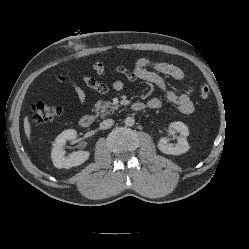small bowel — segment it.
<instances>
[{"instance_id": "small-bowel-1", "label": "small bowel", "mask_w": 249, "mask_h": 249, "mask_svg": "<svg viewBox=\"0 0 249 249\" xmlns=\"http://www.w3.org/2000/svg\"><path fill=\"white\" fill-rule=\"evenodd\" d=\"M92 69L99 78L107 77V71L103 63L97 62L93 64ZM113 72L124 75L130 81L140 79L156 85L165 93L166 99L169 102L175 104L179 112L182 114L189 115L194 111V104L191 99L192 94L195 91L193 81L181 94H177L176 92L168 89L166 85L163 76H169L173 78L180 86H184L185 74L179 67L173 64L152 61L148 58H139L135 61L131 70L124 66H116L113 69ZM82 80L86 86L97 91L98 93L107 94L110 90L108 85L98 81L94 77L83 75ZM71 86L78 103L80 105H85L87 101V95L84 89L77 82H72ZM112 88L115 91H121L124 88V82L119 79L115 80L112 83ZM147 106L150 109H158L162 106V101L159 98H151L148 100Z\"/></svg>"}]
</instances>
